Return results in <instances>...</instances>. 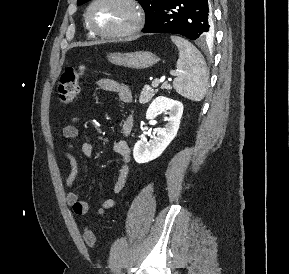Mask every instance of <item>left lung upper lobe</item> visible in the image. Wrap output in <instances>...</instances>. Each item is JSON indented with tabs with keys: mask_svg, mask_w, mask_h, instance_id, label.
<instances>
[{
	"mask_svg": "<svg viewBox=\"0 0 289 274\" xmlns=\"http://www.w3.org/2000/svg\"><path fill=\"white\" fill-rule=\"evenodd\" d=\"M89 0H78L77 5H82ZM165 0H139L138 2L143 7L146 15V25L153 21L160 13Z\"/></svg>",
	"mask_w": 289,
	"mask_h": 274,
	"instance_id": "1",
	"label": "left lung upper lobe"
}]
</instances>
